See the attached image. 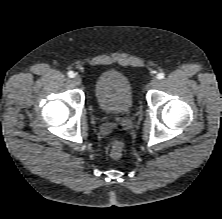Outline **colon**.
Returning <instances> with one entry per match:
<instances>
[{
    "mask_svg": "<svg viewBox=\"0 0 222 219\" xmlns=\"http://www.w3.org/2000/svg\"><path fill=\"white\" fill-rule=\"evenodd\" d=\"M124 144L121 140H114L109 149V154L113 159H119L123 153Z\"/></svg>",
    "mask_w": 222,
    "mask_h": 219,
    "instance_id": "5ec220e1",
    "label": "colon"
}]
</instances>
